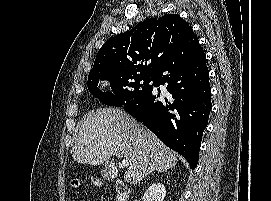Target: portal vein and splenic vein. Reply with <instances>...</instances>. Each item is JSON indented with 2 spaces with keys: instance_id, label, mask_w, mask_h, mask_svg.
Wrapping results in <instances>:
<instances>
[{
  "instance_id": "18ae733b",
  "label": "portal vein and splenic vein",
  "mask_w": 271,
  "mask_h": 201,
  "mask_svg": "<svg viewBox=\"0 0 271 201\" xmlns=\"http://www.w3.org/2000/svg\"><path fill=\"white\" fill-rule=\"evenodd\" d=\"M117 156H119V157H121L120 155H117ZM122 166H124V167H127V166H129V160L128 159H123V161H122Z\"/></svg>"
}]
</instances>
